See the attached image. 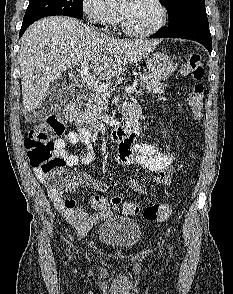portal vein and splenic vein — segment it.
I'll return each instance as SVG.
<instances>
[{"label":"portal vein and splenic vein","instance_id":"obj_1","mask_svg":"<svg viewBox=\"0 0 233 294\" xmlns=\"http://www.w3.org/2000/svg\"><path fill=\"white\" fill-rule=\"evenodd\" d=\"M89 63L83 62L79 67V74L84 82L91 86L96 92L101 93L105 96H110L109 88L106 84L102 83L95 76H92L89 72ZM138 81H134L131 86L126 89V93L131 94L136 90Z\"/></svg>","mask_w":233,"mask_h":294}]
</instances>
